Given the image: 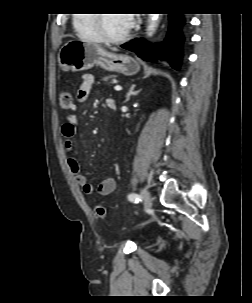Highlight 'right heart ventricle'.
Listing matches in <instances>:
<instances>
[{"label": "right heart ventricle", "mask_w": 252, "mask_h": 303, "mask_svg": "<svg viewBox=\"0 0 252 303\" xmlns=\"http://www.w3.org/2000/svg\"><path fill=\"white\" fill-rule=\"evenodd\" d=\"M74 26L82 38L93 42L103 41L95 14H78L74 19Z\"/></svg>", "instance_id": "right-heart-ventricle-1"}]
</instances>
